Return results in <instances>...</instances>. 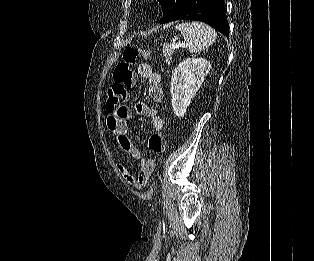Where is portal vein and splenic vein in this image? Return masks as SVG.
<instances>
[{"label":"portal vein and splenic vein","instance_id":"18ae733b","mask_svg":"<svg viewBox=\"0 0 314 261\" xmlns=\"http://www.w3.org/2000/svg\"><path fill=\"white\" fill-rule=\"evenodd\" d=\"M188 46V44L187 43H185V42H175V41H173L172 43H171V45H170V47H172V48H179V47H187Z\"/></svg>","mask_w":314,"mask_h":261}]
</instances>
